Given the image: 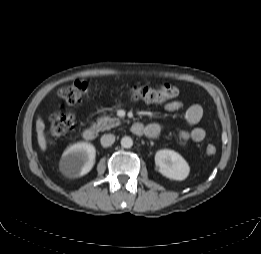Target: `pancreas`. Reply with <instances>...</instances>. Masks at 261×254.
<instances>
[{
	"mask_svg": "<svg viewBox=\"0 0 261 254\" xmlns=\"http://www.w3.org/2000/svg\"><path fill=\"white\" fill-rule=\"evenodd\" d=\"M119 124H120L119 118H111L108 116H103L97 119V124H95V128L98 131H104L116 127Z\"/></svg>",
	"mask_w": 261,
	"mask_h": 254,
	"instance_id": "obj_1",
	"label": "pancreas"
}]
</instances>
